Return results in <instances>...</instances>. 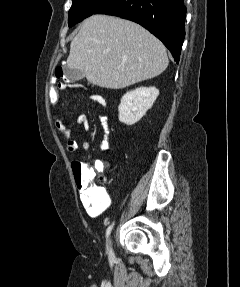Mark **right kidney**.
Masks as SVG:
<instances>
[{
  "label": "right kidney",
  "instance_id": "obj_1",
  "mask_svg": "<svg viewBox=\"0 0 240 287\" xmlns=\"http://www.w3.org/2000/svg\"><path fill=\"white\" fill-rule=\"evenodd\" d=\"M159 90L155 87H140L127 92L118 107L119 121L131 126L141 120L153 103Z\"/></svg>",
  "mask_w": 240,
  "mask_h": 287
}]
</instances>
